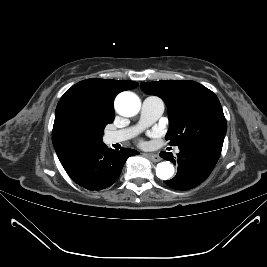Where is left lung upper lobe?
<instances>
[{
    "label": "left lung upper lobe",
    "mask_w": 267,
    "mask_h": 267,
    "mask_svg": "<svg viewBox=\"0 0 267 267\" xmlns=\"http://www.w3.org/2000/svg\"><path fill=\"white\" fill-rule=\"evenodd\" d=\"M141 89L164 100L169 113L166 140L173 146L196 144L222 148L227 124L217 96L195 81L161 80Z\"/></svg>",
    "instance_id": "left-lung-upper-lobe-1"
}]
</instances>
